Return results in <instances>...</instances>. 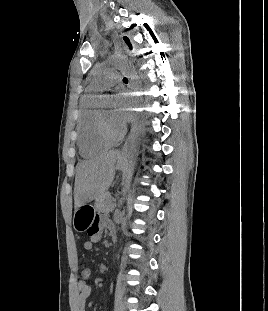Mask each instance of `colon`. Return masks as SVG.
Segmentation results:
<instances>
[{
  "label": "colon",
  "instance_id": "colon-1",
  "mask_svg": "<svg viewBox=\"0 0 268 311\" xmlns=\"http://www.w3.org/2000/svg\"><path fill=\"white\" fill-rule=\"evenodd\" d=\"M90 273H91V271L88 267H82L81 268V276L83 278H88L90 276Z\"/></svg>",
  "mask_w": 268,
  "mask_h": 311
}]
</instances>
